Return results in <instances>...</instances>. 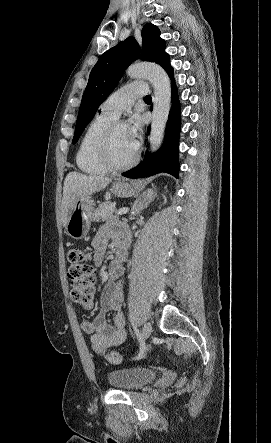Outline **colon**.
I'll use <instances>...</instances> for the list:
<instances>
[{
	"mask_svg": "<svg viewBox=\"0 0 271 443\" xmlns=\"http://www.w3.org/2000/svg\"><path fill=\"white\" fill-rule=\"evenodd\" d=\"M68 260L71 298L81 307L91 309L94 305L95 294L94 268L90 262L91 253L88 250L73 248L68 252ZM104 356L111 364H117L122 360L121 355L116 351H108Z\"/></svg>",
	"mask_w": 271,
	"mask_h": 443,
	"instance_id": "1",
	"label": "colon"
}]
</instances>
